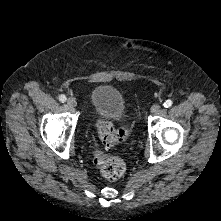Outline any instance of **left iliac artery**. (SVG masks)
<instances>
[{"label": "left iliac artery", "mask_w": 221, "mask_h": 221, "mask_svg": "<svg viewBox=\"0 0 221 221\" xmlns=\"http://www.w3.org/2000/svg\"><path fill=\"white\" fill-rule=\"evenodd\" d=\"M163 106L165 108H169L170 106H172V101L170 99L166 100L164 103H163Z\"/></svg>", "instance_id": "44dca946"}]
</instances>
